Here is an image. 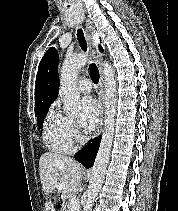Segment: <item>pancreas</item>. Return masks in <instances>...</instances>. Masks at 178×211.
Here are the masks:
<instances>
[{
	"instance_id": "cf45deb5",
	"label": "pancreas",
	"mask_w": 178,
	"mask_h": 211,
	"mask_svg": "<svg viewBox=\"0 0 178 211\" xmlns=\"http://www.w3.org/2000/svg\"><path fill=\"white\" fill-rule=\"evenodd\" d=\"M67 211H72V210H71V204L69 205V207H68V210H67ZM74 211H80V210H79V208H77V209H75Z\"/></svg>"
}]
</instances>
